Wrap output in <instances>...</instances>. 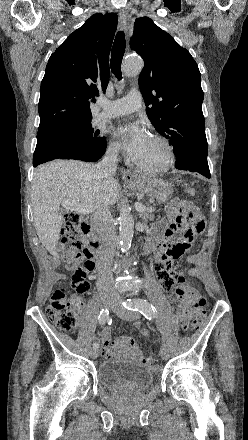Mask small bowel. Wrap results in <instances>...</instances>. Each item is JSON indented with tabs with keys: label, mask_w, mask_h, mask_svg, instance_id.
Returning <instances> with one entry per match:
<instances>
[{
	"label": "small bowel",
	"mask_w": 248,
	"mask_h": 440,
	"mask_svg": "<svg viewBox=\"0 0 248 440\" xmlns=\"http://www.w3.org/2000/svg\"><path fill=\"white\" fill-rule=\"evenodd\" d=\"M192 207L187 202L175 203L168 211L169 224L167 226H164L163 223L158 224L154 228L152 238V247L155 248L152 268L156 271L161 286L169 290L174 282L179 284L175 291L178 298L179 320L177 326L179 331H188L190 315L192 310L196 308L195 299L198 296L195 289L186 282L184 275L173 270V260L187 253L192 246L194 236L199 234L194 232L189 225L187 215ZM176 234H181L182 239L177 243H172L171 238ZM187 260L191 264H196L199 261V256L190 255ZM196 272L195 268L189 270V274L192 276ZM78 310L81 311L80 305ZM135 325L138 326L139 322H135ZM100 342L103 359L111 360L123 356L149 363L147 359L142 358L139 347L130 336H121L111 345L110 330L106 327L100 333Z\"/></svg>",
	"instance_id": "1"
}]
</instances>
